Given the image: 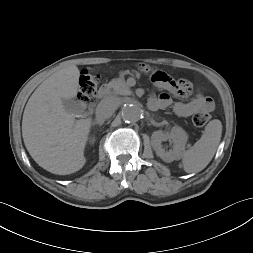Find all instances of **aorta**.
Here are the masks:
<instances>
[{"instance_id":"aorta-1","label":"aorta","mask_w":253,"mask_h":253,"mask_svg":"<svg viewBox=\"0 0 253 253\" xmlns=\"http://www.w3.org/2000/svg\"><path fill=\"white\" fill-rule=\"evenodd\" d=\"M122 119L126 122H137L142 116V109L138 104H125L121 110Z\"/></svg>"}]
</instances>
